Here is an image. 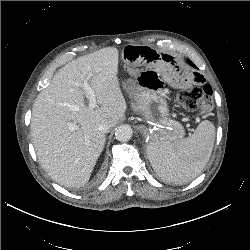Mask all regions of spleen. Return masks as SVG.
I'll return each mask as SVG.
<instances>
[{"instance_id": "obj_1", "label": "spleen", "mask_w": 250, "mask_h": 250, "mask_svg": "<svg viewBox=\"0 0 250 250\" xmlns=\"http://www.w3.org/2000/svg\"><path fill=\"white\" fill-rule=\"evenodd\" d=\"M215 127L202 121L195 132L174 143L151 141L147 155L152 168L164 181L178 185L197 177L207 164L214 145Z\"/></svg>"}]
</instances>
